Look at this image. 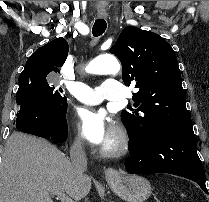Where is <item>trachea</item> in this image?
<instances>
[{"instance_id":"trachea-1","label":"trachea","mask_w":209,"mask_h":202,"mask_svg":"<svg viewBox=\"0 0 209 202\" xmlns=\"http://www.w3.org/2000/svg\"><path fill=\"white\" fill-rule=\"evenodd\" d=\"M107 28V23L104 19H97L93 25L92 34L94 37L101 36Z\"/></svg>"}]
</instances>
